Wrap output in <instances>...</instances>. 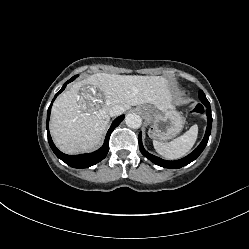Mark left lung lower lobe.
<instances>
[{
	"instance_id": "0a47b994",
	"label": "left lung lower lobe",
	"mask_w": 249,
	"mask_h": 249,
	"mask_svg": "<svg viewBox=\"0 0 249 249\" xmlns=\"http://www.w3.org/2000/svg\"><path fill=\"white\" fill-rule=\"evenodd\" d=\"M201 102L206 106L207 110H206V115H207V128H206V132H205V136L202 140V142L199 144V146L192 152L190 153L188 156L176 160V161H167V160H163L159 157H156L150 153H148L143 145H142V139H141V133L138 136V140H139V148L141 153L147 157L151 162H153L154 164L164 167V168H171V169H177V168H181L183 166H186L187 164L191 163L192 161H194L204 150L205 146L207 145L210 133H211V125H212V115H211V107H210V103L207 100L206 96L203 95L200 98Z\"/></svg>"
}]
</instances>
